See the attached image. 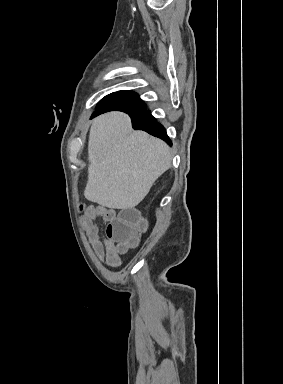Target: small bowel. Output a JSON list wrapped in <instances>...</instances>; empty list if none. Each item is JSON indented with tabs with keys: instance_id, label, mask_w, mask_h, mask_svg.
Segmentation results:
<instances>
[{
	"instance_id": "c3829d8e",
	"label": "small bowel",
	"mask_w": 283,
	"mask_h": 384,
	"mask_svg": "<svg viewBox=\"0 0 283 384\" xmlns=\"http://www.w3.org/2000/svg\"><path fill=\"white\" fill-rule=\"evenodd\" d=\"M116 217L117 213L114 209L101 205L88 206L83 216V228L95 254L111 267H118L122 262L115 242L107 234L108 225ZM97 218H101L103 223L107 224L105 234L101 232L99 226L95 223Z\"/></svg>"
}]
</instances>
